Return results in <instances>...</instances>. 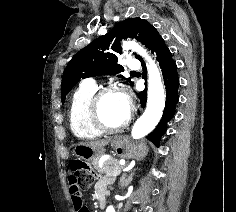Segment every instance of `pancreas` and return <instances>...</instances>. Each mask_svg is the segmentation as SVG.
<instances>
[{
  "mask_svg": "<svg viewBox=\"0 0 236 212\" xmlns=\"http://www.w3.org/2000/svg\"><path fill=\"white\" fill-rule=\"evenodd\" d=\"M93 167L98 170L100 177L105 174L106 176H111V173L116 169H121L122 166L119 164V161L114 158H109L103 164V168H99L98 159L93 160L92 162Z\"/></svg>",
  "mask_w": 236,
  "mask_h": 212,
  "instance_id": "cf45deb5",
  "label": "pancreas"
}]
</instances>
